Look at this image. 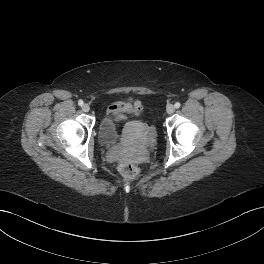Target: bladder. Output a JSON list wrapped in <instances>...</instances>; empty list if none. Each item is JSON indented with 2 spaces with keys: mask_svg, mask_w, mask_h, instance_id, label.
<instances>
[{
  "mask_svg": "<svg viewBox=\"0 0 264 264\" xmlns=\"http://www.w3.org/2000/svg\"><path fill=\"white\" fill-rule=\"evenodd\" d=\"M144 132L151 134L152 130L144 122L139 121ZM98 138L101 144L110 146L116 144L121 139V132L118 122L111 116H104L98 127Z\"/></svg>",
  "mask_w": 264,
  "mask_h": 264,
  "instance_id": "1",
  "label": "bladder"
}]
</instances>
